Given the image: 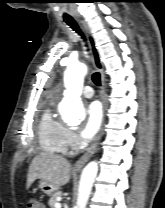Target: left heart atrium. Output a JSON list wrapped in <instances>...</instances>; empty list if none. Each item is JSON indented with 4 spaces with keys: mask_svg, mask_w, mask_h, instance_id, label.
I'll return each mask as SVG.
<instances>
[{
    "mask_svg": "<svg viewBox=\"0 0 165 208\" xmlns=\"http://www.w3.org/2000/svg\"><path fill=\"white\" fill-rule=\"evenodd\" d=\"M86 118L80 129V135L86 140L92 139L98 132L102 122V108L99 102L94 101L85 109Z\"/></svg>",
    "mask_w": 165,
    "mask_h": 208,
    "instance_id": "1",
    "label": "left heart atrium"
}]
</instances>
